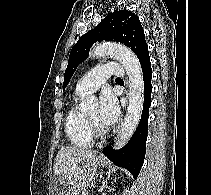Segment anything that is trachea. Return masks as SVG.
Here are the masks:
<instances>
[{"label": "trachea", "mask_w": 211, "mask_h": 195, "mask_svg": "<svg viewBox=\"0 0 211 195\" xmlns=\"http://www.w3.org/2000/svg\"><path fill=\"white\" fill-rule=\"evenodd\" d=\"M116 81H121L122 82L123 80L121 78H116Z\"/></svg>", "instance_id": "obj_1"}]
</instances>
